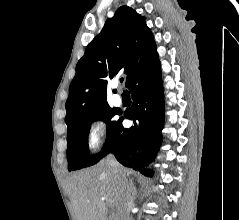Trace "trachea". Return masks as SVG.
Instances as JSON below:
<instances>
[{"label":"trachea","mask_w":239,"mask_h":220,"mask_svg":"<svg viewBox=\"0 0 239 220\" xmlns=\"http://www.w3.org/2000/svg\"><path fill=\"white\" fill-rule=\"evenodd\" d=\"M120 82H121V83L123 82V78L120 79Z\"/></svg>","instance_id":"1"}]
</instances>
